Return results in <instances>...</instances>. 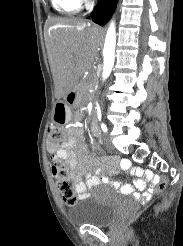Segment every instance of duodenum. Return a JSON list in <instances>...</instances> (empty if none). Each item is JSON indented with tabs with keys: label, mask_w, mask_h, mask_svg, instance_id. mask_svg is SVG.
Masks as SVG:
<instances>
[{
	"label": "duodenum",
	"mask_w": 183,
	"mask_h": 246,
	"mask_svg": "<svg viewBox=\"0 0 183 246\" xmlns=\"http://www.w3.org/2000/svg\"><path fill=\"white\" fill-rule=\"evenodd\" d=\"M67 99L70 103H74L76 100V91L75 90L70 91L67 95Z\"/></svg>",
	"instance_id": "duodenum-1"
}]
</instances>
